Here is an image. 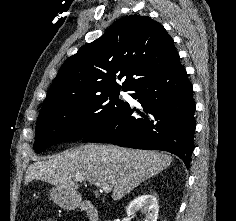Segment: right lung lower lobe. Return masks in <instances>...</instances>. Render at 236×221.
<instances>
[{"mask_svg": "<svg viewBox=\"0 0 236 221\" xmlns=\"http://www.w3.org/2000/svg\"><path fill=\"white\" fill-rule=\"evenodd\" d=\"M130 94L143 107L140 117L127 103L99 130L82 142L163 150L176 154L189 167L194 148L193 88L177 55L166 67L137 82Z\"/></svg>", "mask_w": 236, "mask_h": 221, "instance_id": "obj_1", "label": "right lung lower lobe"}]
</instances>
